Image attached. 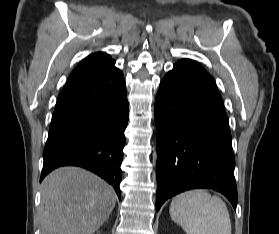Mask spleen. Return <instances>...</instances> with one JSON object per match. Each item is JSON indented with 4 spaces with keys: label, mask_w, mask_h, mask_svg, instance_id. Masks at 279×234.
<instances>
[{
    "label": "spleen",
    "mask_w": 279,
    "mask_h": 234,
    "mask_svg": "<svg viewBox=\"0 0 279 234\" xmlns=\"http://www.w3.org/2000/svg\"><path fill=\"white\" fill-rule=\"evenodd\" d=\"M169 213L187 234H231L230 216L224 201L203 189L174 197Z\"/></svg>",
    "instance_id": "spleen-1"
}]
</instances>
